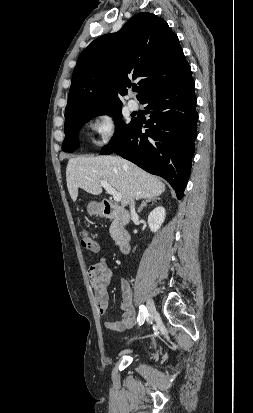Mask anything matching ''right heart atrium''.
<instances>
[{
    "label": "right heart atrium",
    "instance_id": "d8ad5b80",
    "mask_svg": "<svg viewBox=\"0 0 253 413\" xmlns=\"http://www.w3.org/2000/svg\"><path fill=\"white\" fill-rule=\"evenodd\" d=\"M93 133L92 143L96 147L108 145L116 131V117L110 110H102L95 113L89 123Z\"/></svg>",
    "mask_w": 253,
    "mask_h": 413
}]
</instances>
